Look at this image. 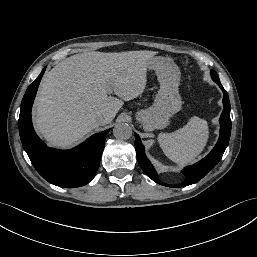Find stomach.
<instances>
[{
  "instance_id": "1",
  "label": "stomach",
  "mask_w": 257,
  "mask_h": 257,
  "mask_svg": "<svg viewBox=\"0 0 257 257\" xmlns=\"http://www.w3.org/2000/svg\"><path fill=\"white\" fill-rule=\"evenodd\" d=\"M147 68L155 71L160 89L153 105L140 110L136 117L144 130L153 131L165 128L169 118L181 109L182 100L178 91L180 72L168 57H153L148 61Z\"/></svg>"
}]
</instances>
